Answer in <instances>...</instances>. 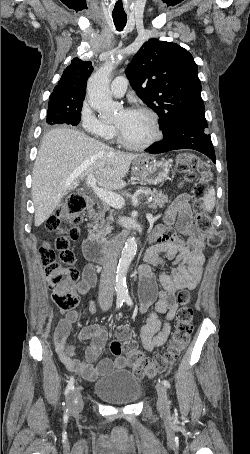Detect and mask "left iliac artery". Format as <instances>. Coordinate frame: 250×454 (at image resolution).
Returning <instances> with one entry per match:
<instances>
[{
	"label": "left iliac artery",
	"mask_w": 250,
	"mask_h": 454,
	"mask_svg": "<svg viewBox=\"0 0 250 454\" xmlns=\"http://www.w3.org/2000/svg\"><path fill=\"white\" fill-rule=\"evenodd\" d=\"M124 301H125L128 305H130V306L133 305V302H132V300H131L130 297H126V298L124 299ZM162 383H163V385H164L165 387L170 388V383H169L168 380H165V379H164V380L162 381Z\"/></svg>",
	"instance_id": "obj_1"
}]
</instances>
